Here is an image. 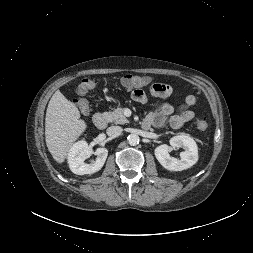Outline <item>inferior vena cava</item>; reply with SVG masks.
Segmentation results:
<instances>
[{"instance_id":"602c4592","label":"inferior vena cava","mask_w":253,"mask_h":253,"mask_svg":"<svg viewBox=\"0 0 253 253\" xmlns=\"http://www.w3.org/2000/svg\"><path fill=\"white\" fill-rule=\"evenodd\" d=\"M123 129L120 126H111L106 130L108 136H118L122 133Z\"/></svg>"}]
</instances>
